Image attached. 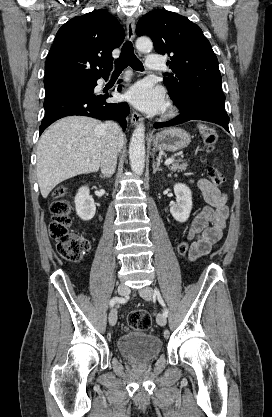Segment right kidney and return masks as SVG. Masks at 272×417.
Segmentation results:
<instances>
[{"instance_id":"ca27d5eb","label":"right kidney","mask_w":272,"mask_h":417,"mask_svg":"<svg viewBox=\"0 0 272 417\" xmlns=\"http://www.w3.org/2000/svg\"><path fill=\"white\" fill-rule=\"evenodd\" d=\"M75 208L77 215L84 221H89L94 217L96 206L87 186L78 190L75 196Z\"/></svg>"}]
</instances>
